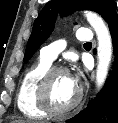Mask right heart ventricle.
Returning a JSON list of instances; mask_svg holds the SVG:
<instances>
[{"mask_svg":"<svg viewBox=\"0 0 118 123\" xmlns=\"http://www.w3.org/2000/svg\"><path fill=\"white\" fill-rule=\"evenodd\" d=\"M51 67V62L40 58L23 75L17 91V106L20 112L30 118H44L48 115L38 102V86L42 76Z\"/></svg>","mask_w":118,"mask_h":123,"instance_id":"obj_1","label":"right heart ventricle"}]
</instances>
